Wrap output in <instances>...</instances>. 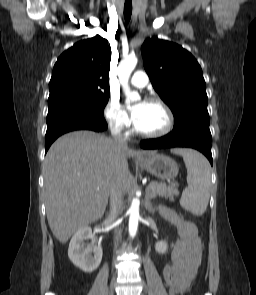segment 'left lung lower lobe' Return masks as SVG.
Listing matches in <instances>:
<instances>
[{"label": "left lung lower lobe", "instance_id": "obj_1", "mask_svg": "<svg viewBox=\"0 0 256 295\" xmlns=\"http://www.w3.org/2000/svg\"><path fill=\"white\" fill-rule=\"evenodd\" d=\"M143 149H161L172 147H190L202 152L213 164L211 153V133L209 127L187 124L164 137L148 139L140 143Z\"/></svg>", "mask_w": 256, "mask_h": 295}]
</instances>
